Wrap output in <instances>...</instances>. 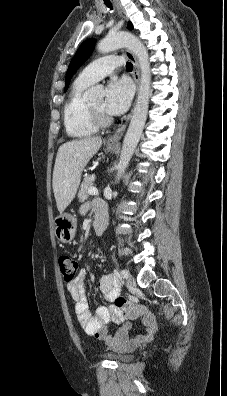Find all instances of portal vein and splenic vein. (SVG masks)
<instances>
[{
	"label": "portal vein and splenic vein",
	"instance_id": "18ae733b",
	"mask_svg": "<svg viewBox=\"0 0 227 396\" xmlns=\"http://www.w3.org/2000/svg\"><path fill=\"white\" fill-rule=\"evenodd\" d=\"M88 193H89L90 195H97V194H98V190H97V188H95V187H90V188L88 189Z\"/></svg>",
	"mask_w": 227,
	"mask_h": 396
}]
</instances>
